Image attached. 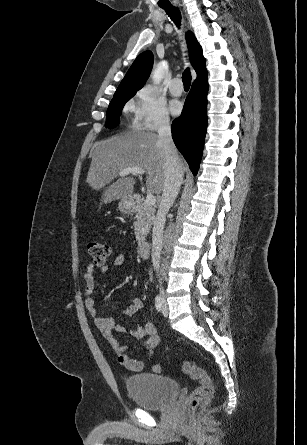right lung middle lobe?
<instances>
[{"label":"right lung middle lobe","instance_id":"right-lung-middle-lobe-1","mask_svg":"<svg viewBox=\"0 0 307 445\" xmlns=\"http://www.w3.org/2000/svg\"><path fill=\"white\" fill-rule=\"evenodd\" d=\"M130 98L131 97L110 102L106 113V127L115 128L119 124V115L123 109V106Z\"/></svg>","mask_w":307,"mask_h":445}]
</instances>
